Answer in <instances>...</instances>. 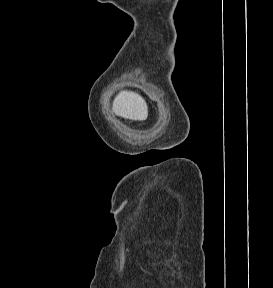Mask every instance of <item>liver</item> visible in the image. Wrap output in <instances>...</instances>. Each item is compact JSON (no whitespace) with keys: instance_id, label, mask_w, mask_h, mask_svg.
Listing matches in <instances>:
<instances>
[{"instance_id":"obj_1","label":"liver","mask_w":273,"mask_h":288,"mask_svg":"<svg viewBox=\"0 0 273 288\" xmlns=\"http://www.w3.org/2000/svg\"><path fill=\"white\" fill-rule=\"evenodd\" d=\"M113 112L122 118L144 121L148 117V106L144 98L133 91H121L114 99Z\"/></svg>"}]
</instances>
